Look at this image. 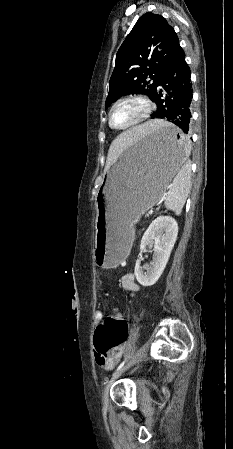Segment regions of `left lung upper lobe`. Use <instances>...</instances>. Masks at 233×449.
I'll use <instances>...</instances> for the list:
<instances>
[{
  "mask_svg": "<svg viewBox=\"0 0 233 449\" xmlns=\"http://www.w3.org/2000/svg\"><path fill=\"white\" fill-rule=\"evenodd\" d=\"M181 50L176 32L163 16L142 15L117 52L105 109L127 94L152 99L162 72Z\"/></svg>",
  "mask_w": 233,
  "mask_h": 449,
  "instance_id": "left-lung-upper-lobe-1",
  "label": "left lung upper lobe"
}]
</instances>
